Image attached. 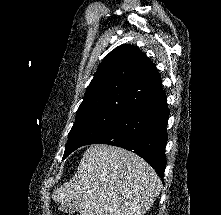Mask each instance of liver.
Returning a JSON list of instances; mask_svg holds the SVG:
<instances>
[{"mask_svg": "<svg viewBox=\"0 0 221 215\" xmlns=\"http://www.w3.org/2000/svg\"><path fill=\"white\" fill-rule=\"evenodd\" d=\"M161 181L140 156L126 149L91 145L74 177L52 198L74 202L80 215H143L160 193Z\"/></svg>", "mask_w": 221, "mask_h": 215, "instance_id": "6515ba94", "label": "liver"}]
</instances>
